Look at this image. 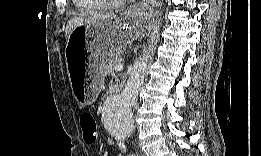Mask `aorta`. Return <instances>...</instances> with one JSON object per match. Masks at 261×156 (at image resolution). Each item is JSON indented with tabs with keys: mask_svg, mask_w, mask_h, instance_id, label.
Returning <instances> with one entry per match:
<instances>
[{
	"mask_svg": "<svg viewBox=\"0 0 261 156\" xmlns=\"http://www.w3.org/2000/svg\"><path fill=\"white\" fill-rule=\"evenodd\" d=\"M156 5V1L152 2ZM148 59L139 56L133 63L132 71L123 91L106 99L102 109V123L105 131L114 139H127L133 132L134 119L132 106L135 104L139 90L147 73Z\"/></svg>",
	"mask_w": 261,
	"mask_h": 156,
	"instance_id": "762f6f07",
	"label": "aorta"
}]
</instances>
